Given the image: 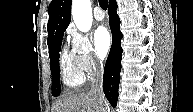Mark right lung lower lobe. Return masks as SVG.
Masks as SVG:
<instances>
[{
	"label": "right lung lower lobe",
	"mask_w": 193,
	"mask_h": 112,
	"mask_svg": "<svg viewBox=\"0 0 193 112\" xmlns=\"http://www.w3.org/2000/svg\"><path fill=\"white\" fill-rule=\"evenodd\" d=\"M116 9L117 3L115 0H113L109 3L108 7L113 43L105 64L103 77V90L112 107L117 105L118 100L122 56V48L120 43L122 39V33L119 30L120 19L116 13Z\"/></svg>",
	"instance_id": "98d812e1"
}]
</instances>
